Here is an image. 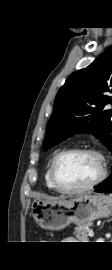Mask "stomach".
Returning a JSON list of instances; mask_svg holds the SVG:
<instances>
[{"label":"stomach","mask_w":112,"mask_h":270,"mask_svg":"<svg viewBox=\"0 0 112 270\" xmlns=\"http://www.w3.org/2000/svg\"><path fill=\"white\" fill-rule=\"evenodd\" d=\"M31 207L33 218L40 227L58 231L70 223L80 226L111 215L112 198L101 194H84L69 200L35 199Z\"/></svg>","instance_id":"0dacf381"}]
</instances>
